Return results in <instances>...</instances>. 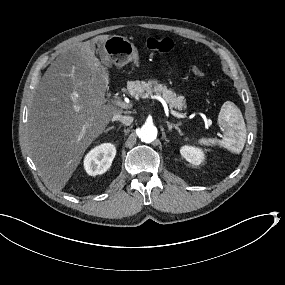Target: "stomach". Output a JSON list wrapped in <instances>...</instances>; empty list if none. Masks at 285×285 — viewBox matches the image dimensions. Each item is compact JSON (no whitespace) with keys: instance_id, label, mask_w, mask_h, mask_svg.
I'll list each match as a JSON object with an SVG mask.
<instances>
[{"instance_id":"obj_1","label":"stomach","mask_w":285,"mask_h":285,"mask_svg":"<svg viewBox=\"0 0 285 285\" xmlns=\"http://www.w3.org/2000/svg\"><path fill=\"white\" fill-rule=\"evenodd\" d=\"M105 55L116 66L122 67L129 62L138 63V51L126 37L112 35L103 42Z\"/></svg>"}]
</instances>
